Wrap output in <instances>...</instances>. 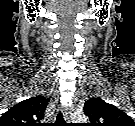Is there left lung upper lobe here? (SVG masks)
<instances>
[{
  "mask_svg": "<svg viewBox=\"0 0 135 126\" xmlns=\"http://www.w3.org/2000/svg\"><path fill=\"white\" fill-rule=\"evenodd\" d=\"M83 109L91 121L89 126H135L125 112L98 97L87 100Z\"/></svg>",
  "mask_w": 135,
  "mask_h": 126,
  "instance_id": "1",
  "label": "left lung upper lobe"
}]
</instances>
